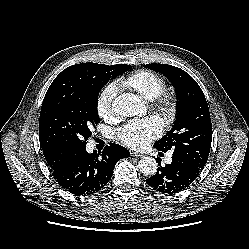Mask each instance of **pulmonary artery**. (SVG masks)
Returning <instances> with one entry per match:
<instances>
[{
    "instance_id": "e3ab8cb5",
    "label": "pulmonary artery",
    "mask_w": 249,
    "mask_h": 249,
    "mask_svg": "<svg viewBox=\"0 0 249 249\" xmlns=\"http://www.w3.org/2000/svg\"><path fill=\"white\" fill-rule=\"evenodd\" d=\"M167 163H171L172 162V155H169L166 159Z\"/></svg>"
}]
</instances>
